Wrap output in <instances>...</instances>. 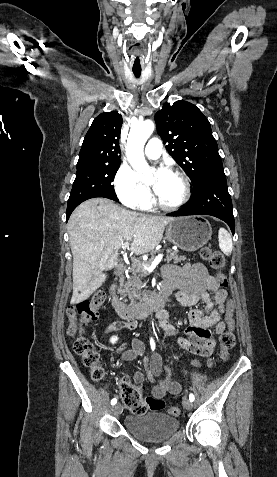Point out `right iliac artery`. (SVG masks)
I'll return each mask as SVG.
<instances>
[{
	"label": "right iliac artery",
	"instance_id": "1",
	"mask_svg": "<svg viewBox=\"0 0 277 477\" xmlns=\"http://www.w3.org/2000/svg\"><path fill=\"white\" fill-rule=\"evenodd\" d=\"M150 344H151L152 350H154L155 349V343H154L153 339L150 340ZM116 403H117V399L114 398V399L111 400L112 405H115Z\"/></svg>",
	"mask_w": 277,
	"mask_h": 477
}]
</instances>
